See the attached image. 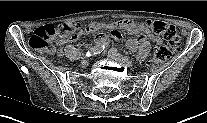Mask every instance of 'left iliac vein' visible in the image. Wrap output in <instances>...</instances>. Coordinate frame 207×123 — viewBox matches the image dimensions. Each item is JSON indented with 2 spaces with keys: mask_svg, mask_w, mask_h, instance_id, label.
<instances>
[{
  "mask_svg": "<svg viewBox=\"0 0 207 123\" xmlns=\"http://www.w3.org/2000/svg\"><path fill=\"white\" fill-rule=\"evenodd\" d=\"M108 57L110 59H112L113 61H115V62H118V63H120L122 65H125L126 67H132V65H133V63H132V61L130 59H127L125 57H121L119 55H115V54L109 53Z\"/></svg>",
  "mask_w": 207,
  "mask_h": 123,
  "instance_id": "4c4485c4",
  "label": "left iliac vein"
}]
</instances>
